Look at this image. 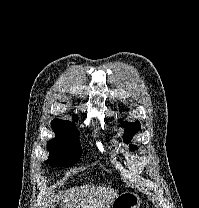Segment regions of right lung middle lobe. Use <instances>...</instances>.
Returning a JSON list of instances; mask_svg holds the SVG:
<instances>
[{"label":"right lung middle lobe","instance_id":"1","mask_svg":"<svg viewBox=\"0 0 199 208\" xmlns=\"http://www.w3.org/2000/svg\"><path fill=\"white\" fill-rule=\"evenodd\" d=\"M47 149L50 156L45 163L58 167L74 165L82 154L78 131L66 134L56 133V137L48 142Z\"/></svg>","mask_w":199,"mask_h":208}]
</instances>
